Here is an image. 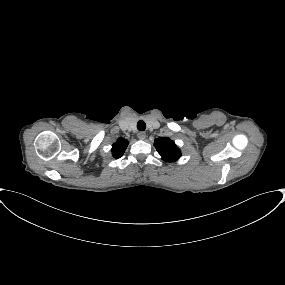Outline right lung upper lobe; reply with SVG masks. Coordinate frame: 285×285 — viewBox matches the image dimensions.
Returning <instances> with one entry per match:
<instances>
[{"instance_id": "cb5924a9", "label": "right lung upper lobe", "mask_w": 285, "mask_h": 285, "mask_svg": "<svg viewBox=\"0 0 285 285\" xmlns=\"http://www.w3.org/2000/svg\"><path fill=\"white\" fill-rule=\"evenodd\" d=\"M128 143L129 142L126 139H118L117 142L112 145L113 157L120 158L123 155L126 147L128 146Z\"/></svg>"}]
</instances>
